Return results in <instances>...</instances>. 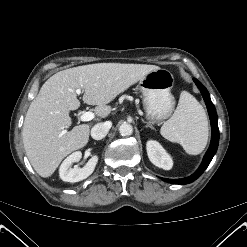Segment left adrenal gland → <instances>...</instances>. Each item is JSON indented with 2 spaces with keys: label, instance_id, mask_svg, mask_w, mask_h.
Returning a JSON list of instances; mask_svg holds the SVG:
<instances>
[{
  "label": "left adrenal gland",
  "instance_id": "obj_1",
  "mask_svg": "<svg viewBox=\"0 0 247 247\" xmlns=\"http://www.w3.org/2000/svg\"><path fill=\"white\" fill-rule=\"evenodd\" d=\"M144 123H146L144 120H142ZM146 127H150L152 129V126L149 123H146Z\"/></svg>",
  "mask_w": 247,
  "mask_h": 247
}]
</instances>
